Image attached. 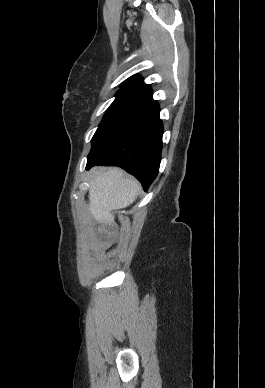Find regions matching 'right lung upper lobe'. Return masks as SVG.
Returning <instances> with one entry per match:
<instances>
[{
    "mask_svg": "<svg viewBox=\"0 0 265 388\" xmlns=\"http://www.w3.org/2000/svg\"><path fill=\"white\" fill-rule=\"evenodd\" d=\"M117 94L146 100L149 103L153 101L150 86L145 84L139 76L135 75L128 78L123 83L121 90H119Z\"/></svg>",
    "mask_w": 265,
    "mask_h": 388,
    "instance_id": "cb5924a9",
    "label": "right lung upper lobe"
}]
</instances>
